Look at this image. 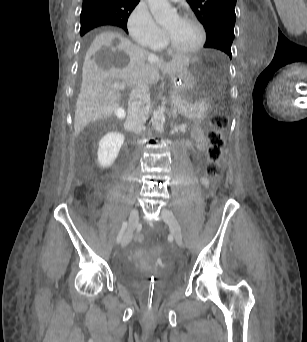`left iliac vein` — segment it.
Instances as JSON below:
<instances>
[{
	"label": "left iliac vein",
	"mask_w": 307,
	"mask_h": 342,
	"mask_svg": "<svg viewBox=\"0 0 307 342\" xmlns=\"http://www.w3.org/2000/svg\"><path fill=\"white\" fill-rule=\"evenodd\" d=\"M162 219L167 223L170 228L171 233L174 236L175 242L179 246H183V237L181 232V227L179 225L178 220L176 219L173 212L163 209L161 212Z\"/></svg>",
	"instance_id": "1"
}]
</instances>
